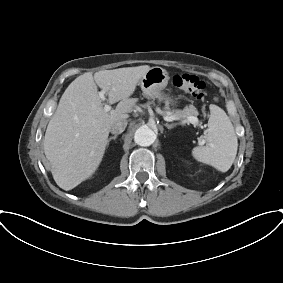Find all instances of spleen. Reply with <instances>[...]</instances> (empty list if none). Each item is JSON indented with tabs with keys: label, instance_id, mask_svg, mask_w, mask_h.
Instances as JSON below:
<instances>
[{
	"label": "spleen",
	"instance_id": "obj_1",
	"mask_svg": "<svg viewBox=\"0 0 283 283\" xmlns=\"http://www.w3.org/2000/svg\"><path fill=\"white\" fill-rule=\"evenodd\" d=\"M204 138L207 144L193 148L192 156L220 172H227L235 160L238 141L229 117L216 105H210L208 128Z\"/></svg>",
	"mask_w": 283,
	"mask_h": 283
}]
</instances>
